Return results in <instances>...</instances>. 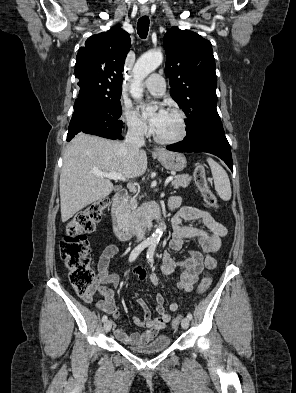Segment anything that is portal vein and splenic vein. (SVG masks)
<instances>
[{
  "mask_svg": "<svg viewBox=\"0 0 296 393\" xmlns=\"http://www.w3.org/2000/svg\"><path fill=\"white\" fill-rule=\"evenodd\" d=\"M94 174L98 177H104L110 180H122V181H126V177H124L123 175H121L118 172H110V173H105V172H94ZM173 180V177H168L165 181V185H167L168 183H170ZM163 196V194H162Z\"/></svg>",
  "mask_w": 296,
  "mask_h": 393,
  "instance_id": "18ae733b",
  "label": "portal vein and splenic vein"
}]
</instances>
